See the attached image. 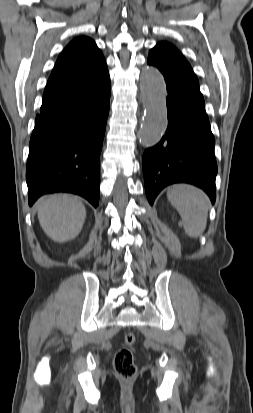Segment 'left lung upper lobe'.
Wrapping results in <instances>:
<instances>
[{
	"label": "left lung upper lobe",
	"instance_id": "obj_1",
	"mask_svg": "<svg viewBox=\"0 0 253 413\" xmlns=\"http://www.w3.org/2000/svg\"><path fill=\"white\" fill-rule=\"evenodd\" d=\"M149 58L161 65L194 73L190 64L181 52L168 42H159L149 51Z\"/></svg>",
	"mask_w": 253,
	"mask_h": 413
}]
</instances>
